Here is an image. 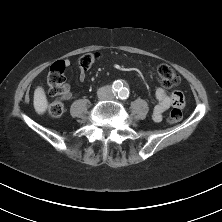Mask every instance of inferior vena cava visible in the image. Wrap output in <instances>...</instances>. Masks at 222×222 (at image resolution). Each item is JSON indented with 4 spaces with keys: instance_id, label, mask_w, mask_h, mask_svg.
Returning <instances> with one entry per match:
<instances>
[{
    "instance_id": "obj_1",
    "label": "inferior vena cava",
    "mask_w": 222,
    "mask_h": 222,
    "mask_svg": "<svg viewBox=\"0 0 222 222\" xmlns=\"http://www.w3.org/2000/svg\"><path fill=\"white\" fill-rule=\"evenodd\" d=\"M97 95L102 100H108L113 98L112 89L109 86H104L98 89Z\"/></svg>"
}]
</instances>
